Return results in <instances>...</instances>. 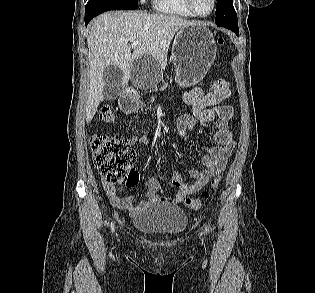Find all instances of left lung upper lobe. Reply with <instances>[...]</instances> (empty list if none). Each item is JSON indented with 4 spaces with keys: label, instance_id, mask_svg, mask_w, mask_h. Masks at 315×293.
I'll return each mask as SVG.
<instances>
[{
    "label": "left lung upper lobe",
    "instance_id": "obj_1",
    "mask_svg": "<svg viewBox=\"0 0 315 293\" xmlns=\"http://www.w3.org/2000/svg\"><path fill=\"white\" fill-rule=\"evenodd\" d=\"M215 23L237 34L238 23L233 0H217Z\"/></svg>",
    "mask_w": 315,
    "mask_h": 293
}]
</instances>
